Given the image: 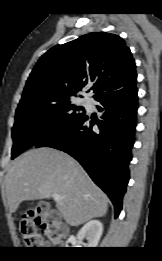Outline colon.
<instances>
[{"instance_id":"obj_1","label":"colon","mask_w":162,"mask_h":261,"mask_svg":"<svg viewBox=\"0 0 162 261\" xmlns=\"http://www.w3.org/2000/svg\"><path fill=\"white\" fill-rule=\"evenodd\" d=\"M18 229L27 248L47 247L51 242L59 243L64 237L58 213L45 203L22 211L18 219Z\"/></svg>"}]
</instances>
